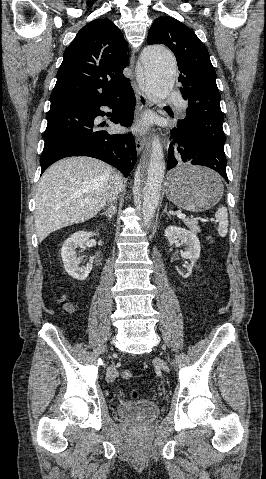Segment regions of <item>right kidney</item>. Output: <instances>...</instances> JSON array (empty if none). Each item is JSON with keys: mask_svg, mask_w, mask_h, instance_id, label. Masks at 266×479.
<instances>
[{"mask_svg": "<svg viewBox=\"0 0 266 479\" xmlns=\"http://www.w3.org/2000/svg\"><path fill=\"white\" fill-rule=\"evenodd\" d=\"M95 232L79 231L71 235L63 244L61 248V257L64 264L65 271L74 279L85 280L92 270L93 259L86 266H79V259L75 249L80 246L85 247L86 242Z\"/></svg>", "mask_w": 266, "mask_h": 479, "instance_id": "right-kidney-1", "label": "right kidney"}]
</instances>
